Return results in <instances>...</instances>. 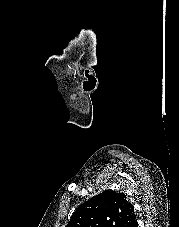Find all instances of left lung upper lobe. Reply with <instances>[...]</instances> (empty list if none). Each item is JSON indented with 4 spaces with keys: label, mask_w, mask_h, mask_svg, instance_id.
I'll use <instances>...</instances> for the list:
<instances>
[{
    "label": "left lung upper lobe",
    "mask_w": 179,
    "mask_h": 227,
    "mask_svg": "<svg viewBox=\"0 0 179 227\" xmlns=\"http://www.w3.org/2000/svg\"><path fill=\"white\" fill-rule=\"evenodd\" d=\"M133 205L125 194L104 191L80 205L66 227H136Z\"/></svg>",
    "instance_id": "obj_1"
}]
</instances>
